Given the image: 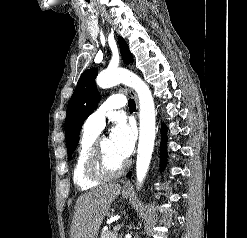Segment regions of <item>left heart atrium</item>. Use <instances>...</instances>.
<instances>
[{"instance_id":"1","label":"left heart atrium","mask_w":247,"mask_h":238,"mask_svg":"<svg viewBox=\"0 0 247 238\" xmlns=\"http://www.w3.org/2000/svg\"><path fill=\"white\" fill-rule=\"evenodd\" d=\"M135 130L124 119H118L110 134V143L115 153L122 159H127L135 145Z\"/></svg>"}]
</instances>
